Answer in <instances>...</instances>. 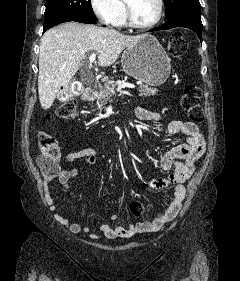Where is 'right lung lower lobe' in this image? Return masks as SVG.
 <instances>
[{
    "label": "right lung lower lobe",
    "mask_w": 240,
    "mask_h": 281,
    "mask_svg": "<svg viewBox=\"0 0 240 281\" xmlns=\"http://www.w3.org/2000/svg\"><path fill=\"white\" fill-rule=\"evenodd\" d=\"M63 23V22H62ZM80 23H91V24H94V23H96V21H82V22H80ZM44 32L46 31V30H43Z\"/></svg>",
    "instance_id": "obj_1"
}]
</instances>
